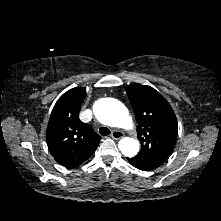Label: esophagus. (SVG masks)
<instances>
[{
  "mask_svg": "<svg viewBox=\"0 0 221 221\" xmlns=\"http://www.w3.org/2000/svg\"><path fill=\"white\" fill-rule=\"evenodd\" d=\"M111 137L115 140H118L124 137V133L119 130H113L111 133Z\"/></svg>",
  "mask_w": 221,
  "mask_h": 221,
  "instance_id": "esophagus-1",
  "label": "esophagus"
}]
</instances>
